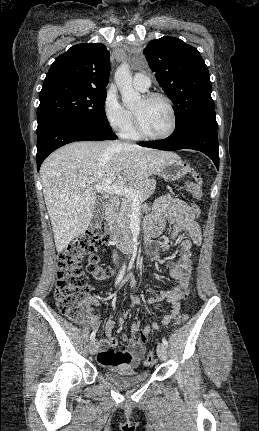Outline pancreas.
Segmentation results:
<instances>
[{"label": "pancreas", "instance_id": "pancreas-1", "mask_svg": "<svg viewBox=\"0 0 259 431\" xmlns=\"http://www.w3.org/2000/svg\"><path fill=\"white\" fill-rule=\"evenodd\" d=\"M155 187L156 181L153 179L137 181L129 185V188L140 192V197L138 198L140 202L145 201L151 194H153ZM132 205V198L121 196L120 199L117 200L114 210L110 214V224L119 234H128L130 232L129 224Z\"/></svg>", "mask_w": 259, "mask_h": 431}]
</instances>
